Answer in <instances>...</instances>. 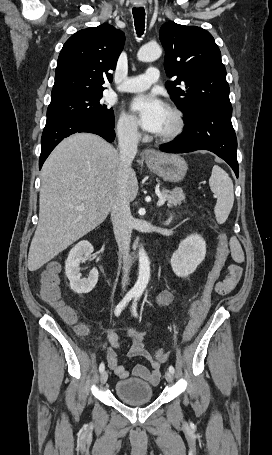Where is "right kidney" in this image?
<instances>
[{"label": "right kidney", "instance_id": "ca27d5eb", "mask_svg": "<svg viewBox=\"0 0 272 455\" xmlns=\"http://www.w3.org/2000/svg\"><path fill=\"white\" fill-rule=\"evenodd\" d=\"M93 252L90 242L83 240L77 243L69 252L65 262L66 276L70 281L71 289L78 293H89L98 281V270L93 268L89 272L88 278L81 279L80 263L85 262Z\"/></svg>", "mask_w": 272, "mask_h": 455}]
</instances>
